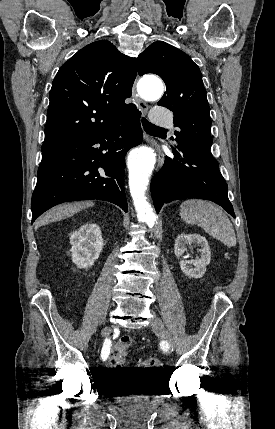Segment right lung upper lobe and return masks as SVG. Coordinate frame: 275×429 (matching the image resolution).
I'll use <instances>...</instances> for the list:
<instances>
[{
  "label": "right lung upper lobe",
  "instance_id": "right-lung-upper-lobe-1",
  "mask_svg": "<svg viewBox=\"0 0 275 429\" xmlns=\"http://www.w3.org/2000/svg\"><path fill=\"white\" fill-rule=\"evenodd\" d=\"M136 73V59L120 53L107 40L93 42L74 54L52 83L42 152L136 115V106L125 104Z\"/></svg>",
  "mask_w": 275,
  "mask_h": 429
}]
</instances>
